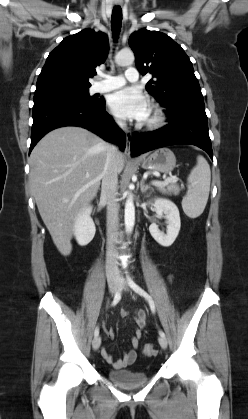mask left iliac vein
<instances>
[{"instance_id":"left-iliac-vein-1","label":"left iliac vein","mask_w":248,"mask_h":419,"mask_svg":"<svg viewBox=\"0 0 248 419\" xmlns=\"http://www.w3.org/2000/svg\"><path fill=\"white\" fill-rule=\"evenodd\" d=\"M121 281H122V289L123 290H128V286H127V283H126V281H124V279H120ZM158 342H159V344H160V346L163 348V349H166L167 348V340H166V338L165 337H162V336H160L159 338H158Z\"/></svg>"}]
</instances>
